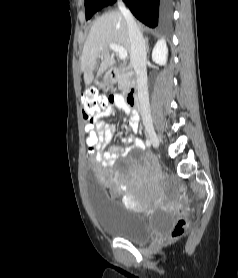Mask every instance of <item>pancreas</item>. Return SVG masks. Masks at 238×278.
<instances>
[{
  "label": "pancreas",
  "instance_id": "pancreas-1",
  "mask_svg": "<svg viewBox=\"0 0 238 278\" xmlns=\"http://www.w3.org/2000/svg\"><path fill=\"white\" fill-rule=\"evenodd\" d=\"M132 78H131V74L128 72H122L119 76L118 79V88L123 91L126 92L129 90V88L132 86Z\"/></svg>",
  "mask_w": 238,
  "mask_h": 278
}]
</instances>
